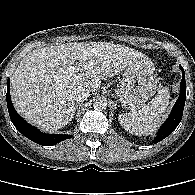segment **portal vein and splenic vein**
Wrapping results in <instances>:
<instances>
[{"label": "portal vein and splenic vein", "instance_id": "1", "mask_svg": "<svg viewBox=\"0 0 195 195\" xmlns=\"http://www.w3.org/2000/svg\"><path fill=\"white\" fill-rule=\"evenodd\" d=\"M77 70H78V71H81V70H82V64H79V65H78Z\"/></svg>", "mask_w": 195, "mask_h": 195}]
</instances>
